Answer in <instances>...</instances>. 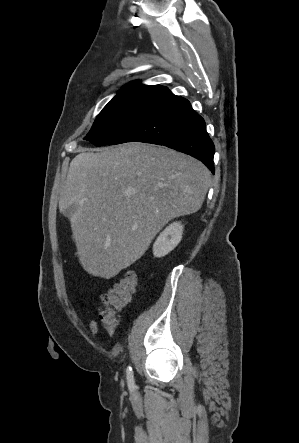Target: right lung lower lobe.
I'll return each instance as SVG.
<instances>
[{
    "label": "right lung lower lobe",
    "mask_w": 299,
    "mask_h": 443,
    "mask_svg": "<svg viewBox=\"0 0 299 443\" xmlns=\"http://www.w3.org/2000/svg\"><path fill=\"white\" fill-rule=\"evenodd\" d=\"M145 142L163 145L201 160L214 173L215 147L203 118L188 100L166 90L109 145Z\"/></svg>",
    "instance_id": "right-lung-lower-lobe-1"
}]
</instances>
